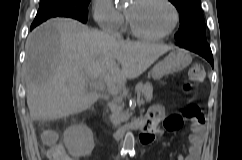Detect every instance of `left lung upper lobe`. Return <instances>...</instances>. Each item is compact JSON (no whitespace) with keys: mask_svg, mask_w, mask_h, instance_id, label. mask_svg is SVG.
<instances>
[{"mask_svg":"<svg viewBox=\"0 0 242 160\" xmlns=\"http://www.w3.org/2000/svg\"><path fill=\"white\" fill-rule=\"evenodd\" d=\"M179 12L180 28L175 35L179 43L206 40V26L201 11V0H169Z\"/></svg>","mask_w":242,"mask_h":160,"instance_id":"1","label":"left lung upper lobe"}]
</instances>
